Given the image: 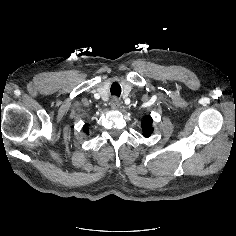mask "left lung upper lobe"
<instances>
[{
    "label": "left lung upper lobe",
    "mask_w": 236,
    "mask_h": 236,
    "mask_svg": "<svg viewBox=\"0 0 236 236\" xmlns=\"http://www.w3.org/2000/svg\"><path fill=\"white\" fill-rule=\"evenodd\" d=\"M142 127H143V136L144 137H149L153 132L152 118L150 116H146L143 119Z\"/></svg>",
    "instance_id": "obj_1"
}]
</instances>
